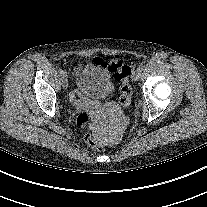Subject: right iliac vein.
I'll return each instance as SVG.
<instances>
[{
    "label": "right iliac vein",
    "mask_w": 207,
    "mask_h": 207,
    "mask_svg": "<svg viewBox=\"0 0 207 207\" xmlns=\"http://www.w3.org/2000/svg\"><path fill=\"white\" fill-rule=\"evenodd\" d=\"M61 84H62L63 88H65V89L68 87V80L65 76L62 77Z\"/></svg>",
    "instance_id": "63e3f726"
}]
</instances>
